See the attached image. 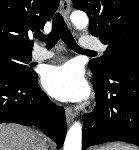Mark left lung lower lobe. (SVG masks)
Instances as JSON below:
<instances>
[{"mask_svg": "<svg viewBox=\"0 0 139 150\" xmlns=\"http://www.w3.org/2000/svg\"><path fill=\"white\" fill-rule=\"evenodd\" d=\"M92 83L97 106L84 116L82 150L112 141L139 147V47L120 56L106 79L93 71Z\"/></svg>", "mask_w": 139, "mask_h": 150, "instance_id": "1", "label": "left lung lower lobe"}]
</instances>
